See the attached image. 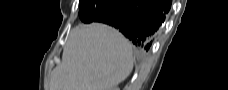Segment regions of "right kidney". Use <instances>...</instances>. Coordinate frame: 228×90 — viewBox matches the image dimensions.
Returning a JSON list of instances; mask_svg holds the SVG:
<instances>
[{
	"label": "right kidney",
	"mask_w": 228,
	"mask_h": 90,
	"mask_svg": "<svg viewBox=\"0 0 228 90\" xmlns=\"http://www.w3.org/2000/svg\"><path fill=\"white\" fill-rule=\"evenodd\" d=\"M111 90H119V88H117V87H114V88H112Z\"/></svg>",
	"instance_id": "obj_1"
}]
</instances>
